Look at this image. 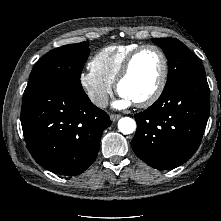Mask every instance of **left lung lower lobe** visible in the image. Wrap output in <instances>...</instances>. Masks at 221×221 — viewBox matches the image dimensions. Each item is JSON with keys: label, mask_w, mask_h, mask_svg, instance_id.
Masks as SVG:
<instances>
[{"label": "left lung lower lobe", "mask_w": 221, "mask_h": 221, "mask_svg": "<svg viewBox=\"0 0 221 221\" xmlns=\"http://www.w3.org/2000/svg\"><path fill=\"white\" fill-rule=\"evenodd\" d=\"M209 112L210 90L205 74L189 76L135 115L137 130L132 149L153 168H176L198 149Z\"/></svg>", "instance_id": "obj_1"}]
</instances>
